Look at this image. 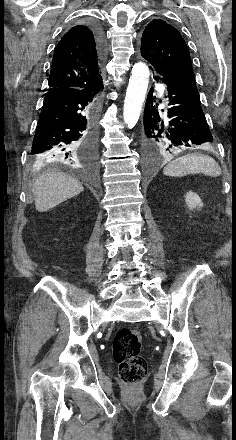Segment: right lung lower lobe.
<instances>
[{"label": "right lung lower lobe", "instance_id": "98d812e1", "mask_svg": "<svg viewBox=\"0 0 236 440\" xmlns=\"http://www.w3.org/2000/svg\"><path fill=\"white\" fill-rule=\"evenodd\" d=\"M93 30L100 57L106 54L102 30ZM103 82L84 88L48 91L33 139L31 155L45 161H63L93 171L97 161L99 105ZM76 148L77 150H75Z\"/></svg>", "mask_w": 236, "mask_h": 440}]
</instances>
